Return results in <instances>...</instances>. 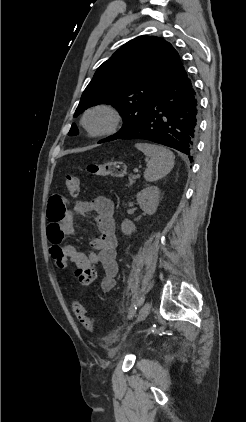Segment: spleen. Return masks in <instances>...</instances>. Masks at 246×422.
Here are the masks:
<instances>
[{
  "label": "spleen",
  "instance_id": "1",
  "mask_svg": "<svg viewBox=\"0 0 246 422\" xmlns=\"http://www.w3.org/2000/svg\"><path fill=\"white\" fill-rule=\"evenodd\" d=\"M135 147L150 158L144 172L146 181H157L165 177L172 170L175 163V156L168 148L149 143H137Z\"/></svg>",
  "mask_w": 246,
  "mask_h": 422
}]
</instances>
